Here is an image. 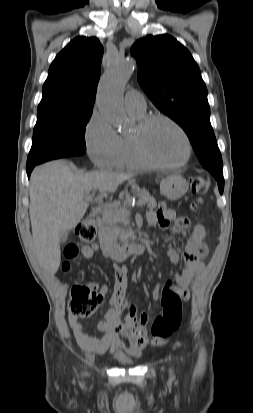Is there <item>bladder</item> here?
I'll return each instance as SVG.
<instances>
[{"label": "bladder", "instance_id": "31cf9c89", "mask_svg": "<svg viewBox=\"0 0 253 413\" xmlns=\"http://www.w3.org/2000/svg\"><path fill=\"white\" fill-rule=\"evenodd\" d=\"M116 360L123 365H130L133 363V360L127 356L120 355L116 357Z\"/></svg>", "mask_w": 253, "mask_h": 413}]
</instances>
